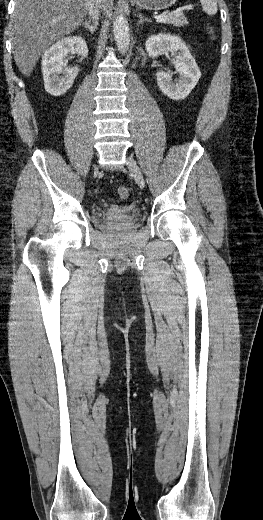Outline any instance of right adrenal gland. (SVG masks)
Instances as JSON below:
<instances>
[{
  "instance_id": "2a0ac1e0",
  "label": "right adrenal gland",
  "mask_w": 263,
  "mask_h": 520,
  "mask_svg": "<svg viewBox=\"0 0 263 520\" xmlns=\"http://www.w3.org/2000/svg\"><path fill=\"white\" fill-rule=\"evenodd\" d=\"M82 26L87 29L91 34H93L96 30V27H97V22H93L91 24L90 21H85L82 23Z\"/></svg>"
}]
</instances>
